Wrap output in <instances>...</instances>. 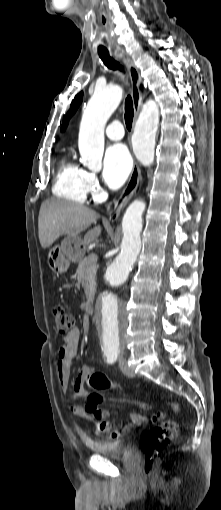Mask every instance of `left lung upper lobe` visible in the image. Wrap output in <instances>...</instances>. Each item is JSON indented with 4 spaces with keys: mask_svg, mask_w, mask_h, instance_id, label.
Instances as JSON below:
<instances>
[{
    "mask_svg": "<svg viewBox=\"0 0 221 510\" xmlns=\"http://www.w3.org/2000/svg\"><path fill=\"white\" fill-rule=\"evenodd\" d=\"M82 99H83V92H80L73 100L72 104H71V108L69 110V112L67 113V116L65 117L64 121H63V125H62V130L66 128L67 124H68V121H69V118L76 112L78 106L80 105V103L82 102Z\"/></svg>",
    "mask_w": 221,
    "mask_h": 510,
    "instance_id": "5c2ea615",
    "label": "left lung upper lobe"
}]
</instances>
